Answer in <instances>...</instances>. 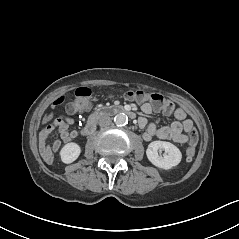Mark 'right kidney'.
I'll list each match as a JSON object with an SVG mask.
<instances>
[{
	"label": "right kidney",
	"instance_id": "right-kidney-1",
	"mask_svg": "<svg viewBox=\"0 0 239 239\" xmlns=\"http://www.w3.org/2000/svg\"><path fill=\"white\" fill-rule=\"evenodd\" d=\"M81 153L80 146L76 143H65L60 148V155L65 160L75 161Z\"/></svg>",
	"mask_w": 239,
	"mask_h": 239
}]
</instances>
